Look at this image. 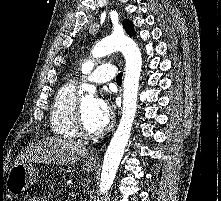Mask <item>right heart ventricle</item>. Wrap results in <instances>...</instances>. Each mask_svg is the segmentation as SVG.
Segmentation results:
<instances>
[{
	"instance_id": "obj_1",
	"label": "right heart ventricle",
	"mask_w": 221,
	"mask_h": 201,
	"mask_svg": "<svg viewBox=\"0 0 221 201\" xmlns=\"http://www.w3.org/2000/svg\"><path fill=\"white\" fill-rule=\"evenodd\" d=\"M78 103L75 86L63 85L56 93L51 111L50 126L52 131L63 138H75V111Z\"/></svg>"
}]
</instances>
